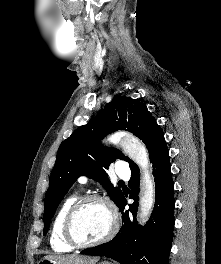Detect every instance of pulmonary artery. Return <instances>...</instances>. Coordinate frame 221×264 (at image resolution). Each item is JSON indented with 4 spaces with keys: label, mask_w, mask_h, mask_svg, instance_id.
I'll return each mask as SVG.
<instances>
[{
    "label": "pulmonary artery",
    "mask_w": 221,
    "mask_h": 264,
    "mask_svg": "<svg viewBox=\"0 0 221 264\" xmlns=\"http://www.w3.org/2000/svg\"><path fill=\"white\" fill-rule=\"evenodd\" d=\"M116 174L120 177V178H124V179H128L130 176V170L128 168V166L123 162V161H118L117 162V166H116ZM88 181V178L86 176H80L78 178V182L81 185L86 184Z\"/></svg>",
    "instance_id": "pulmonary-artery-1"
}]
</instances>
